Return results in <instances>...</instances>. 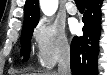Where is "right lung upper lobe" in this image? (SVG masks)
<instances>
[{
	"mask_svg": "<svg viewBox=\"0 0 107 75\" xmlns=\"http://www.w3.org/2000/svg\"><path fill=\"white\" fill-rule=\"evenodd\" d=\"M39 16L38 0H26L24 7V24L38 23Z\"/></svg>",
	"mask_w": 107,
	"mask_h": 75,
	"instance_id": "right-lung-upper-lobe-1",
	"label": "right lung upper lobe"
}]
</instances>
